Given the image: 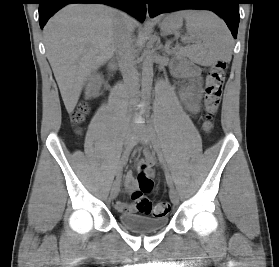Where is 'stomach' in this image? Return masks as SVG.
I'll return each instance as SVG.
<instances>
[{
	"label": "stomach",
	"instance_id": "obj_1",
	"mask_svg": "<svg viewBox=\"0 0 279 267\" xmlns=\"http://www.w3.org/2000/svg\"><path fill=\"white\" fill-rule=\"evenodd\" d=\"M159 26L165 33H171L182 26V19L177 17L176 14H170L160 21Z\"/></svg>",
	"mask_w": 279,
	"mask_h": 267
}]
</instances>
